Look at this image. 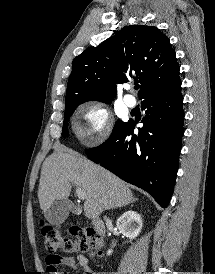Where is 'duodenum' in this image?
Masks as SVG:
<instances>
[{
    "instance_id": "1",
    "label": "duodenum",
    "mask_w": 215,
    "mask_h": 274,
    "mask_svg": "<svg viewBox=\"0 0 215 274\" xmlns=\"http://www.w3.org/2000/svg\"><path fill=\"white\" fill-rule=\"evenodd\" d=\"M91 224L95 232L100 236V237H105L106 229L104 223L98 219V218H93L91 219Z\"/></svg>"
}]
</instances>
